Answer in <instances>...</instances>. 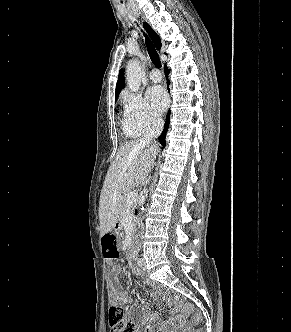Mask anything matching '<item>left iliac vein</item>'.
I'll use <instances>...</instances> for the list:
<instances>
[{"instance_id":"obj_1","label":"left iliac vein","mask_w":291,"mask_h":332,"mask_svg":"<svg viewBox=\"0 0 291 332\" xmlns=\"http://www.w3.org/2000/svg\"><path fill=\"white\" fill-rule=\"evenodd\" d=\"M138 266L140 267V268H145V266H146V263H145V260H144V258H139L138 259Z\"/></svg>"}]
</instances>
